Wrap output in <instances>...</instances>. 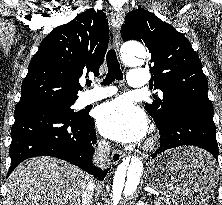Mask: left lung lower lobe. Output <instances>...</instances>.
Here are the masks:
<instances>
[{
  "label": "left lung lower lobe",
  "instance_id": "0a47b994",
  "mask_svg": "<svg viewBox=\"0 0 222 205\" xmlns=\"http://www.w3.org/2000/svg\"><path fill=\"white\" fill-rule=\"evenodd\" d=\"M213 114V109L195 105L174 111L167 123L157 126L160 147L152 158L174 147L192 145L211 153L213 157L209 155V162L214 164V160H218V145Z\"/></svg>",
  "mask_w": 222,
  "mask_h": 205
}]
</instances>
